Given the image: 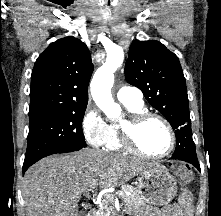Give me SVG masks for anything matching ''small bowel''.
<instances>
[{"label": "small bowel", "mask_w": 221, "mask_h": 216, "mask_svg": "<svg viewBox=\"0 0 221 216\" xmlns=\"http://www.w3.org/2000/svg\"><path fill=\"white\" fill-rule=\"evenodd\" d=\"M192 196L185 191L177 203L167 206L162 210L161 216H193Z\"/></svg>", "instance_id": "small-bowel-1"}]
</instances>
